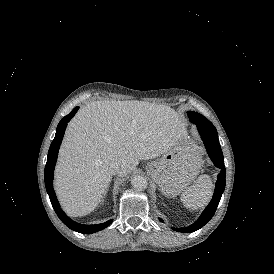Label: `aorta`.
Here are the masks:
<instances>
[{"instance_id": "obj_1", "label": "aorta", "mask_w": 274, "mask_h": 274, "mask_svg": "<svg viewBox=\"0 0 274 274\" xmlns=\"http://www.w3.org/2000/svg\"><path fill=\"white\" fill-rule=\"evenodd\" d=\"M131 184L135 189H145L148 185L147 180L144 176L136 175L132 178Z\"/></svg>"}]
</instances>
